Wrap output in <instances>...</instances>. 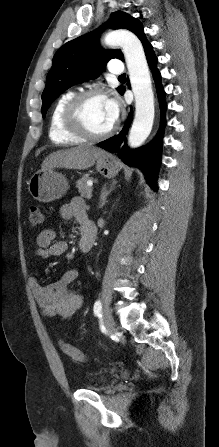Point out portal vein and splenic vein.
Listing matches in <instances>:
<instances>
[{"instance_id": "portal-vein-and-splenic-vein-1", "label": "portal vein and splenic vein", "mask_w": 219, "mask_h": 447, "mask_svg": "<svg viewBox=\"0 0 219 447\" xmlns=\"http://www.w3.org/2000/svg\"><path fill=\"white\" fill-rule=\"evenodd\" d=\"M87 185H88L89 187H91V186L93 185L92 181H88V182H87ZM91 197H92V194H91V193L87 195V198H88V199H90Z\"/></svg>"}]
</instances>
